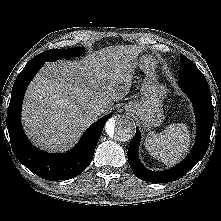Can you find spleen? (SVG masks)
Returning <instances> with one entry per match:
<instances>
[{
    "mask_svg": "<svg viewBox=\"0 0 221 221\" xmlns=\"http://www.w3.org/2000/svg\"><path fill=\"white\" fill-rule=\"evenodd\" d=\"M144 144L149 154L155 159L168 165L175 164L189 149L188 127L183 123L170 124L159 134L150 132Z\"/></svg>",
    "mask_w": 221,
    "mask_h": 221,
    "instance_id": "obj_1",
    "label": "spleen"
}]
</instances>
